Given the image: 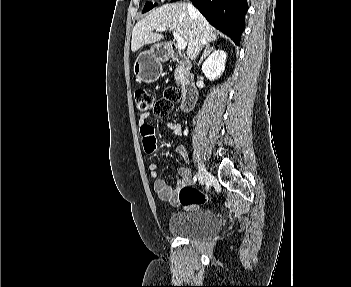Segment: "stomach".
<instances>
[{"label": "stomach", "instance_id": "1", "mask_svg": "<svg viewBox=\"0 0 351 287\" xmlns=\"http://www.w3.org/2000/svg\"><path fill=\"white\" fill-rule=\"evenodd\" d=\"M168 57L161 45H155L148 51L141 52L133 67L137 79L145 83L156 82L162 73L161 61Z\"/></svg>", "mask_w": 351, "mask_h": 287}]
</instances>
